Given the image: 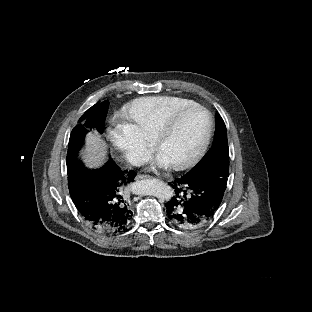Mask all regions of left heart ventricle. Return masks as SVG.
I'll return each mask as SVG.
<instances>
[{
  "instance_id": "1",
  "label": "left heart ventricle",
  "mask_w": 312,
  "mask_h": 312,
  "mask_svg": "<svg viewBox=\"0 0 312 312\" xmlns=\"http://www.w3.org/2000/svg\"><path fill=\"white\" fill-rule=\"evenodd\" d=\"M209 133V121L200 111L179 116L161 141L163 152L178 163L192 159Z\"/></svg>"
}]
</instances>
